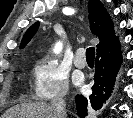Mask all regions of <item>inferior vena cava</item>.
Returning a JSON list of instances; mask_svg holds the SVG:
<instances>
[{"instance_id": "obj_1", "label": "inferior vena cava", "mask_w": 133, "mask_h": 118, "mask_svg": "<svg viewBox=\"0 0 133 118\" xmlns=\"http://www.w3.org/2000/svg\"><path fill=\"white\" fill-rule=\"evenodd\" d=\"M63 96L64 93H62L58 98H55L51 103L55 118H66L65 101Z\"/></svg>"}]
</instances>
